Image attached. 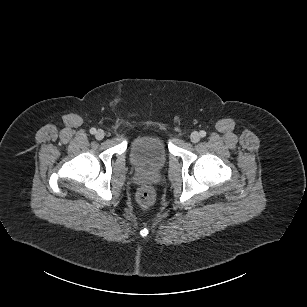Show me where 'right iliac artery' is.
I'll return each mask as SVG.
<instances>
[{"label":"right iliac artery","instance_id":"right-iliac-artery-1","mask_svg":"<svg viewBox=\"0 0 307 307\" xmlns=\"http://www.w3.org/2000/svg\"><path fill=\"white\" fill-rule=\"evenodd\" d=\"M90 133H91V134H95V133H96V129H95V128H91V129H90Z\"/></svg>","mask_w":307,"mask_h":307}]
</instances>
